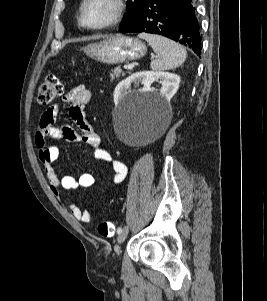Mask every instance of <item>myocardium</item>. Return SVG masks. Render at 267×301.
I'll list each match as a JSON object with an SVG mask.
<instances>
[{
  "label": "myocardium",
  "instance_id": "f54148a6",
  "mask_svg": "<svg viewBox=\"0 0 267 301\" xmlns=\"http://www.w3.org/2000/svg\"><path fill=\"white\" fill-rule=\"evenodd\" d=\"M89 0H82L79 10V21L82 27L89 29V30H103L110 28L117 23H119L124 15L125 12V2L124 0H111L114 11L112 16L105 22L98 24V25H88L85 22V8Z\"/></svg>",
  "mask_w": 267,
  "mask_h": 301
}]
</instances>
